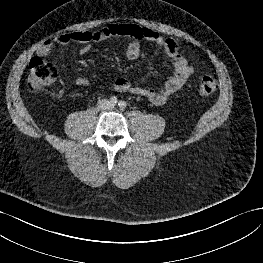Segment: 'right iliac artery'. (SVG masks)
I'll use <instances>...</instances> for the list:
<instances>
[{
    "instance_id": "right-iliac-artery-1",
    "label": "right iliac artery",
    "mask_w": 263,
    "mask_h": 263,
    "mask_svg": "<svg viewBox=\"0 0 263 263\" xmlns=\"http://www.w3.org/2000/svg\"><path fill=\"white\" fill-rule=\"evenodd\" d=\"M110 102H111L113 105H115V104L118 102L117 97H116V96H112V97L110 98Z\"/></svg>"
}]
</instances>
